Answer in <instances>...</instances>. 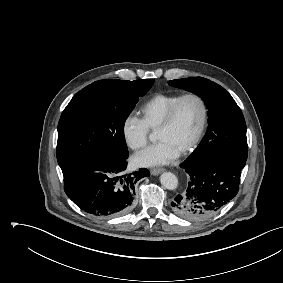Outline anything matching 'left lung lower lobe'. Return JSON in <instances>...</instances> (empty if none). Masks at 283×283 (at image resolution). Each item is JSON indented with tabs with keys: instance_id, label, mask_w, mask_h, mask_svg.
I'll return each mask as SVG.
<instances>
[{
	"instance_id": "left-lung-lower-lobe-1",
	"label": "left lung lower lobe",
	"mask_w": 283,
	"mask_h": 283,
	"mask_svg": "<svg viewBox=\"0 0 283 283\" xmlns=\"http://www.w3.org/2000/svg\"><path fill=\"white\" fill-rule=\"evenodd\" d=\"M190 176L187 190L171 202V209L185 220L202 221L215 215L239 190L245 161L213 157L180 165Z\"/></svg>"
}]
</instances>
